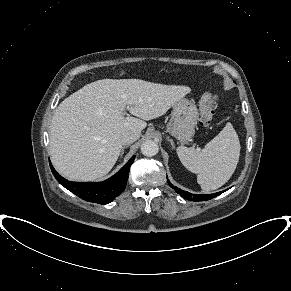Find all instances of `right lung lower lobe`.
Listing matches in <instances>:
<instances>
[{
  "label": "right lung lower lobe",
  "instance_id": "1",
  "mask_svg": "<svg viewBox=\"0 0 291 291\" xmlns=\"http://www.w3.org/2000/svg\"><path fill=\"white\" fill-rule=\"evenodd\" d=\"M134 158L135 156L118 173L103 182H71L61 177L51 163L50 168L56 180L79 198L88 202L108 204L124 191Z\"/></svg>",
  "mask_w": 291,
  "mask_h": 291
}]
</instances>
